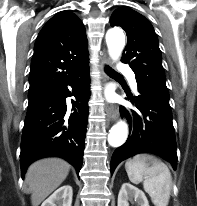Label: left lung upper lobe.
Masks as SVG:
<instances>
[{"label": "left lung upper lobe", "mask_w": 197, "mask_h": 206, "mask_svg": "<svg viewBox=\"0 0 197 206\" xmlns=\"http://www.w3.org/2000/svg\"><path fill=\"white\" fill-rule=\"evenodd\" d=\"M110 24L122 27L127 34L122 62L133 70L138 86L169 99L161 51L151 23L140 13L121 7L112 14Z\"/></svg>", "instance_id": "obj_1"}]
</instances>
